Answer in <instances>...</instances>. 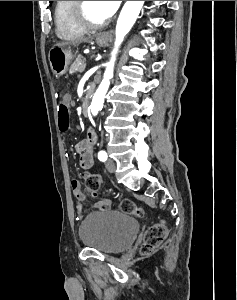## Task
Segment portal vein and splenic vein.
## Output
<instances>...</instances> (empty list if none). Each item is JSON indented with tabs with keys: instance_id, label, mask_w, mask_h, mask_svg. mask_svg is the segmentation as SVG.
I'll return each instance as SVG.
<instances>
[{
	"instance_id": "18ae733b",
	"label": "portal vein and splenic vein",
	"mask_w": 237,
	"mask_h": 300,
	"mask_svg": "<svg viewBox=\"0 0 237 300\" xmlns=\"http://www.w3.org/2000/svg\"><path fill=\"white\" fill-rule=\"evenodd\" d=\"M87 64H86V62L84 61L83 62V65L82 66H80V68H79V71L83 74L84 72H85V70L87 69ZM86 74V73H85Z\"/></svg>"
}]
</instances>
